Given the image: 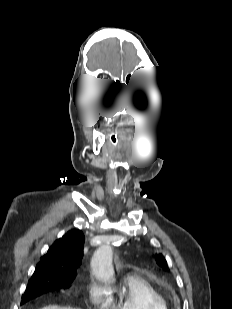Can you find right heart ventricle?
Segmentation results:
<instances>
[{
    "label": "right heart ventricle",
    "instance_id": "1",
    "mask_svg": "<svg viewBox=\"0 0 232 309\" xmlns=\"http://www.w3.org/2000/svg\"><path fill=\"white\" fill-rule=\"evenodd\" d=\"M104 309H168L165 298L146 279L127 275L115 297H108Z\"/></svg>",
    "mask_w": 232,
    "mask_h": 309
}]
</instances>
